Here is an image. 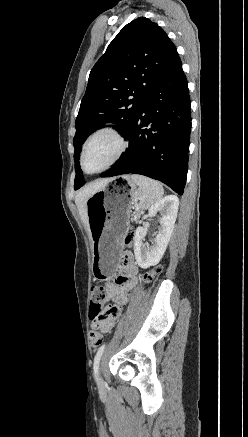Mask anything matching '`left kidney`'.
Segmentation results:
<instances>
[{
  "mask_svg": "<svg viewBox=\"0 0 248 437\" xmlns=\"http://www.w3.org/2000/svg\"><path fill=\"white\" fill-rule=\"evenodd\" d=\"M179 199L177 196L170 195L156 202L149 209V216L153 217L158 212L161 214L159 220L160 226L155 238L150 245L144 243V238L147 234V229L138 227L134 237V254L138 265L147 269L150 266L157 265L163 257L170 237L173 232L174 224L178 213Z\"/></svg>",
  "mask_w": 248,
  "mask_h": 437,
  "instance_id": "obj_1",
  "label": "left kidney"
}]
</instances>
